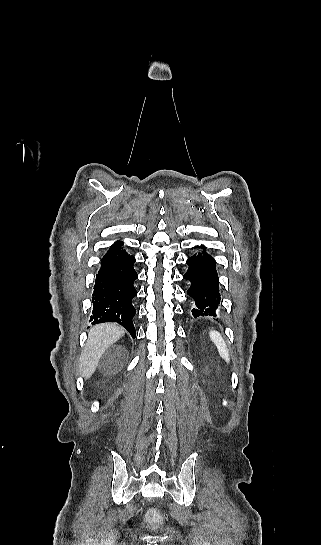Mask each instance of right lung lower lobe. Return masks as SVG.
<instances>
[{"label": "right lung lower lobe", "instance_id": "right-lung-lower-lobe-1", "mask_svg": "<svg viewBox=\"0 0 321 545\" xmlns=\"http://www.w3.org/2000/svg\"><path fill=\"white\" fill-rule=\"evenodd\" d=\"M122 245V242L114 243L101 259V268L96 274L94 285L90 322H117L135 338L132 319L136 310L132 299L137 295L133 286L138 278L133 268L136 260L121 249Z\"/></svg>", "mask_w": 321, "mask_h": 545}]
</instances>
